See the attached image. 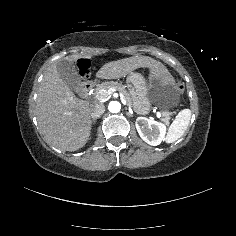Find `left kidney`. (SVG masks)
<instances>
[{
    "label": "left kidney",
    "instance_id": "left-kidney-1",
    "mask_svg": "<svg viewBox=\"0 0 236 236\" xmlns=\"http://www.w3.org/2000/svg\"><path fill=\"white\" fill-rule=\"evenodd\" d=\"M140 137L149 145H159L165 137L166 126L146 117H138L135 123Z\"/></svg>",
    "mask_w": 236,
    "mask_h": 236
}]
</instances>
